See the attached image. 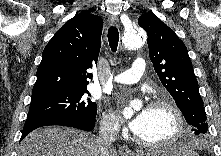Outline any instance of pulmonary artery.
<instances>
[{
    "label": "pulmonary artery",
    "mask_w": 221,
    "mask_h": 156,
    "mask_svg": "<svg viewBox=\"0 0 221 156\" xmlns=\"http://www.w3.org/2000/svg\"><path fill=\"white\" fill-rule=\"evenodd\" d=\"M144 73L145 61L142 58H137L129 70L115 75L112 81L120 84H133L138 82Z\"/></svg>",
    "instance_id": "e3ab8cb5"
}]
</instances>
